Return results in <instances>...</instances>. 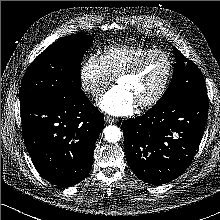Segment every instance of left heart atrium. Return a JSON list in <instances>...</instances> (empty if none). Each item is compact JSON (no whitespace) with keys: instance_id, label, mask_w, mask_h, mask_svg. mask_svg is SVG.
<instances>
[{"instance_id":"obj_1","label":"left heart atrium","mask_w":220,"mask_h":220,"mask_svg":"<svg viewBox=\"0 0 220 220\" xmlns=\"http://www.w3.org/2000/svg\"><path fill=\"white\" fill-rule=\"evenodd\" d=\"M136 106L130 93L119 86L110 89L99 101V107L113 116L129 115Z\"/></svg>"}]
</instances>
